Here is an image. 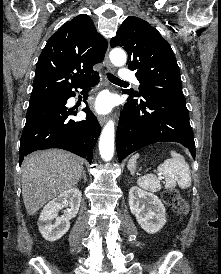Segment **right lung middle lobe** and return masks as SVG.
I'll return each instance as SVG.
<instances>
[{"label":"right lung middle lobe","instance_id":"obj_1","mask_svg":"<svg viewBox=\"0 0 221 274\" xmlns=\"http://www.w3.org/2000/svg\"><path fill=\"white\" fill-rule=\"evenodd\" d=\"M50 99V98H49ZM45 100H47V99H45ZM39 101H43V100H39ZM39 101H33V102H39ZM31 102V101H30Z\"/></svg>","mask_w":221,"mask_h":274}]
</instances>
